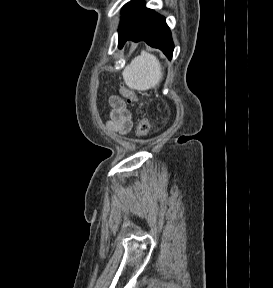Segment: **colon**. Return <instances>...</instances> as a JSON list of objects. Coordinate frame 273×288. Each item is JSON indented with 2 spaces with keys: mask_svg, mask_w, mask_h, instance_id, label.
I'll return each mask as SVG.
<instances>
[{
  "mask_svg": "<svg viewBox=\"0 0 273 288\" xmlns=\"http://www.w3.org/2000/svg\"><path fill=\"white\" fill-rule=\"evenodd\" d=\"M120 94L127 99L129 102L137 101L136 93L127 87L122 86L120 88ZM151 131V122L148 118H141L136 126V135L138 137H145Z\"/></svg>",
  "mask_w": 273,
  "mask_h": 288,
  "instance_id": "obj_1",
  "label": "colon"
}]
</instances>
